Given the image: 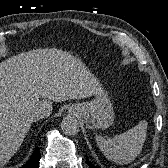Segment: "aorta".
Here are the masks:
<instances>
[{
  "label": "aorta",
  "instance_id": "aorta-1",
  "mask_svg": "<svg viewBox=\"0 0 168 168\" xmlns=\"http://www.w3.org/2000/svg\"><path fill=\"white\" fill-rule=\"evenodd\" d=\"M61 129L66 135H75L79 131V123L76 118L68 116L62 120Z\"/></svg>",
  "mask_w": 168,
  "mask_h": 168
}]
</instances>
